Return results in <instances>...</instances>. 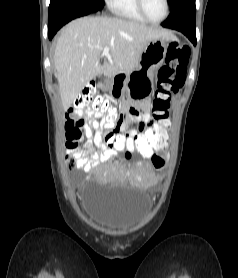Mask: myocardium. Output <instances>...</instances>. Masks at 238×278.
<instances>
[{"mask_svg":"<svg viewBox=\"0 0 238 278\" xmlns=\"http://www.w3.org/2000/svg\"><path fill=\"white\" fill-rule=\"evenodd\" d=\"M137 3V7L139 12L141 13V15L145 18L146 21L150 22V23H154V24H159L161 22H163L169 15L170 13V4H169V0H164L165 3V13L164 16L159 19V20H153L152 18H150L145 10V6H144V0H136Z\"/></svg>","mask_w":238,"mask_h":278,"instance_id":"myocardium-1","label":"myocardium"}]
</instances>
